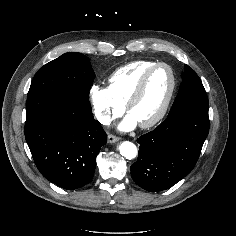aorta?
Masks as SVG:
<instances>
[{
  "instance_id": "1",
  "label": "aorta",
  "mask_w": 236,
  "mask_h": 236,
  "mask_svg": "<svg viewBox=\"0 0 236 236\" xmlns=\"http://www.w3.org/2000/svg\"><path fill=\"white\" fill-rule=\"evenodd\" d=\"M119 151L122 156L129 160L134 159L137 156L136 146L129 141L121 143V145L119 146Z\"/></svg>"
}]
</instances>
